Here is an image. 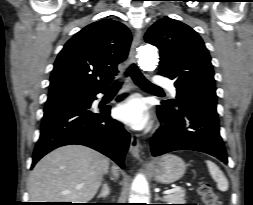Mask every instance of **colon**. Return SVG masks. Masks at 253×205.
Instances as JSON below:
<instances>
[{
	"label": "colon",
	"instance_id": "obj_1",
	"mask_svg": "<svg viewBox=\"0 0 253 205\" xmlns=\"http://www.w3.org/2000/svg\"><path fill=\"white\" fill-rule=\"evenodd\" d=\"M201 201L204 205H221L217 194L209 183H203L198 189Z\"/></svg>",
	"mask_w": 253,
	"mask_h": 205
}]
</instances>
